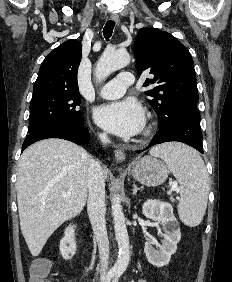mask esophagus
I'll use <instances>...</instances> for the list:
<instances>
[{"label":"esophagus","instance_id":"1","mask_svg":"<svg viewBox=\"0 0 232 282\" xmlns=\"http://www.w3.org/2000/svg\"><path fill=\"white\" fill-rule=\"evenodd\" d=\"M110 19L114 21L117 25H119L120 18L118 14L116 13L111 14ZM114 155L117 162H123L125 160V153L121 149H115Z\"/></svg>","mask_w":232,"mask_h":282}]
</instances>
